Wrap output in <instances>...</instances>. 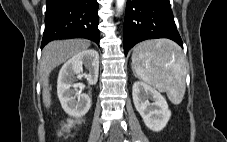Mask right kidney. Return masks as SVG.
<instances>
[{
  "label": "right kidney",
  "mask_w": 227,
  "mask_h": 142,
  "mask_svg": "<svg viewBox=\"0 0 227 142\" xmlns=\"http://www.w3.org/2000/svg\"><path fill=\"white\" fill-rule=\"evenodd\" d=\"M83 66L88 70L85 78L89 85H95L99 73V54L89 49L69 59L61 68L57 81V94L63 110L73 117L84 116L91 107V98L81 92L84 85L76 83L81 77Z\"/></svg>",
  "instance_id": "obj_1"
}]
</instances>
